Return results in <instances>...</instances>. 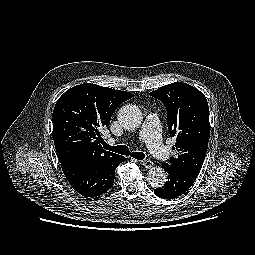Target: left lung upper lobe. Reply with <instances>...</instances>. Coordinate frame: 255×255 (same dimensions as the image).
I'll list each match as a JSON object with an SVG mask.
<instances>
[{
	"label": "left lung upper lobe",
	"mask_w": 255,
	"mask_h": 255,
	"mask_svg": "<svg viewBox=\"0 0 255 255\" xmlns=\"http://www.w3.org/2000/svg\"><path fill=\"white\" fill-rule=\"evenodd\" d=\"M167 109L170 136L176 137V156L169 162L198 176L210 136L209 107L198 89L183 82H174L149 93Z\"/></svg>",
	"instance_id": "left-lung-upper-lobe-1"
}]
</instances>
